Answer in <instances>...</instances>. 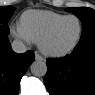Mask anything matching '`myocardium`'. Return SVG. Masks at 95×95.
<instances>
[{
  "label": "myocardium",
  "instance_id": "myocardium-1",
  "mask_svg": "<svg viewBox=\"0 0 95 95\" xmlns=\"http://www.w3.org/2000/svg\"><path fill=\"white\" fill-rule=\"evenodd\" d=\"M69 18H75L79 22V34L77 36V39L75 42L68 48L63 49V50H54L51 49L48 45L47 42L50 39V37L53 35V33L60 27V25L67 19ZM84 32V26L82 20L74 14H69L65 15L62 17L60 20H58L56 23H54L41 37V39L38 42L39 49L47 56L54 57V58H59V57H64L68 54H70L80 43L82 36Z\"/></svg>",
  "mask_w": 95,
  "mask_h": 95
}]
</instances>
